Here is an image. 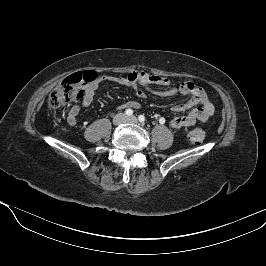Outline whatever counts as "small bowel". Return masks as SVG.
<instances>
[{
  "label": "small bowel",
  "mask_w": 266,
  "mask_h": 266,
  "mask_svg": "<svg viewBox=\"0 0 266 266\" xmlns=\"http://www.w3.org/2000/svg\"><path fill=\"white\" fill-rule=\"evenodd\" d=\"M104 81L131 88L139 98H145L146 91L160 96H174L177 94L188 96L189 99L185 103L172 107V110L176 113L188 110L185 115L175 117L170 121V126L175 129L192 126L198 121L206 123L214 113V105L206 92L195 83L186 81L178 86L171 87V82L166 77L144 71H132L126 77L103 75L90 84L86 89L85 98L81 105H74L68 111L67 121L69 125H76L81 107H88L92 104L99 84ZM152 85L163 88L152 89L150 87ZM139 107L140 104L137 101H128L118 108L138 109Z\"/></svg>",
  "instance_id": "1"
}]
</instances>
